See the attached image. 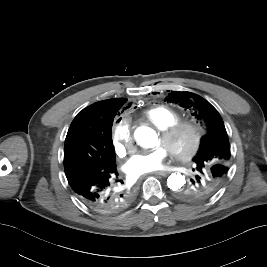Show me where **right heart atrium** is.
Returning <instances> with one entry per match:
<instances>
[{
	"mask_svg": "<svg viewBox=\"0 0 267 267\" xmlns=\"http://www.w3.org/2000/svg\"><path fill=\"white\" fill-rule=\"evenodd\" d=\"M112 142L118 156H124L132 145V132L128 121L120 119L114 126Z\"/></svg>",
	"mask_w": 267,
	"mask_h": 267,
	"instance_id": "1",
	"label": "right heart atrium"
}]
</instances>
